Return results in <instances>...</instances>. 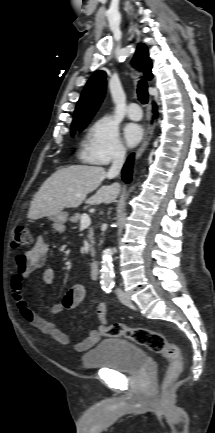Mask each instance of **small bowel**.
<instances>
[{
	"instance_id": "obj_1",
	"label": "small bowel",
	"mask_w": 215,
	"mask_h": 433,
	"mask_svg": "<svg viewBox=\"0 0 215 433\" xmlns=\"http://www.w3.org/2000/svg\"><path fill=\"white\" fill-rule=\"evenodd\" d=\"M50 249L48 241L39 236L33 247L24 251L16 257V269L11 279V289L14 301L20 312L22 318L39 331L51 336L54 340L62 345L71 343L69 335L62 330L54 321L47 320L39 316L33 311L29 305L24 292V283L30 274L34 271L43 268L46 264L47 255ZM43 279L47 283L55 281L56 274L52 268L43 269ZM85 297V287L82 284L72 286L64 294L61 303L55 304L51 308V316L53 319L58 320L65 310H72L76 308ZM97 316L102 324L107 322V305L102 302L97 308ZM101 338V334L97 330H93L89 335L74 344V347L79 352H84L94 346Z\"/></svg>"
}]
</instances>
